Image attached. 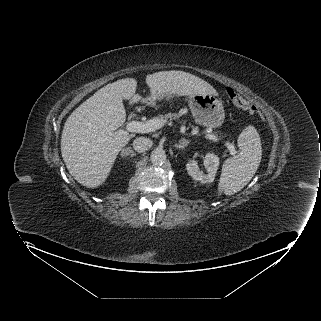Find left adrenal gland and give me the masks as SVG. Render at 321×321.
<instances>
[{"label": "left adrenal gland", "instance_id": "left-adrenal-gland-1", "mask_svg": "<svg viewBox=\"0 0 321 321\" xmlns=\"http://www.w3.org/2000/svg\"><path fill=\"white\" fill-rule=\"evenodd\" d=\"M190 143L187 139H181L178 144H175L176 148L184 149Z\"/></svg>", "mask_w": 321, "mask_h": 321}]
</instances>
